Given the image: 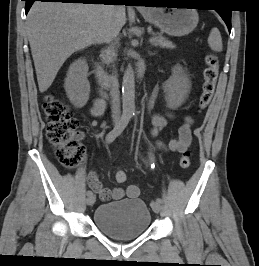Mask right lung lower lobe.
Instances as JSON below:
<instances>
[{
	"mask_svg": "<svg viewBox=\"0 0 259 266\" xmlns=\"http://www.w3.org/2000/svg\"><path fill=\"white\" fill-rule=\"evenodd\" d=\"M26 1L25 5V12L28 13L30 7L35 1H42V2H62V3H84V4H106L110 3V1L113 2H124L128 3L127 0H22ZM127 5V4H125Z\"/></svg>",
	"mask_w": 259,
	"mask_h": 266,
	"instance_id": "right-lung-lower-lobe-1",
	"label": "right lung lower lobe"
}]
</instances>
